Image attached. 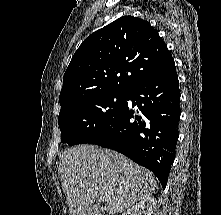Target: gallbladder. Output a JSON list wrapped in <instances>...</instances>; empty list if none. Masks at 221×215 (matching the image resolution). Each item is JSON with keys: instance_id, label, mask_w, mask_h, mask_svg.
<instances>
[{"instance_id": "gallbladder-1", "label": "gallbladder", "mask_w": 221, "mask_h": 215, "mask_svg": "<svg viewBox=\"0 0 221 215\" xmlns=\"http://www.w3.org/2000/svg\"><path fill=\"white\" fill-rule=\"evenodd\" d=\"M85 215H104V210L101 206L98 205H90L85 210Z\"/></svg>"}]
</instances>
